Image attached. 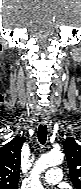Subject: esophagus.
Returning <instances> with one entry per match:
<instances>
[{
  "mask_svg": "<svg viewBox=\"0 0 81 189\" xmlns=\"http://www.w3.org/2000/svg\"><path fill=\"white\" fill-rule=\"evenodd\" d=\"M41 123L42 124H46L49 128L51 127V122L49 120V116L48 115H42L41 116Z\"/></svg>",
  "mask_w": 81,
  "mask_h": 189,
  "instance_id": "1",
  "label": "esophagus"
}]
</instances>
